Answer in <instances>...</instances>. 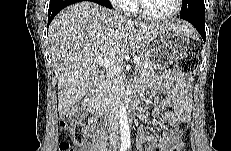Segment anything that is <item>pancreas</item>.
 I'll return each instance as SVG.
<instances>
[{
  "label": "pancreas",
  "instance_id": "cf45deb5",
  "mask_svg": "<svg viewBox=\"0 0 231 151\" xmlns=\"http://www.w3.org/2000/svg\"><path fill=\"white\" fill-rule=\"evenodd\" d=\"M156 68L149 63L145 56L135 67V72L139 75H150L155 72ZM124 88L123 74L108 72L106 79L102 82L98 92V102L102 108L115 104Z\"/></svg>",
  "mask_w": 231,
  "mask_h": 151
}]
</instances>
